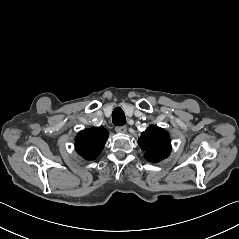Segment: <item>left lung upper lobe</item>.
<instances>
[{"label": "left lung upper lobe", "mask_w": 239, "mask_h": 239, "mask_svg": "<svg viewBox=\"0 0 239 239\" xmlns=\"http://www.w3.org/2000/svg\"><path fill=\"white\" fill-rule=\"evenodd\" d=\"M138 144L145 152V159L153 163L167 158L171 152V141L168 132L154 125L149 126L141 133Z\"/></svg>", "instance_id": "1"}]
</instances>
